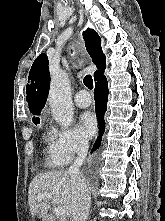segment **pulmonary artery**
I'll return each mask as SVG.
<instances>
[{
	"label": "pulmonary artery",
	"instance_id": "pulmonary-artery-1",
	"mask_svg": "<svg viewBox=\"0 0 165 221\" xmlns=\"http://www.w3.org/2000/svg\"><path fill=\"white\" fill-rule=\"evenodd\" d=\"M75 104L80 108H86L91 104V97L86 90H80L74 97Z\"/></svg>",
	"mask_w": 165,
	"mask_h": 221
}]
</instances>
